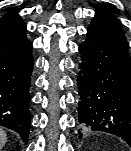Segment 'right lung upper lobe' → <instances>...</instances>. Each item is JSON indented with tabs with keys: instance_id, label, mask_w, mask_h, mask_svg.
<instances>
[{
	"instance_id": "right-lung-upper-lobe-1",
	"label": "right lung upper lobe",
	"mask_w": 131,
	"mask_h": 151,
	"mask_svg": "<svg viewBox=\"0 0 131 151\" xmlns=\"http://www.w3.org/2000/svg\"><path fill=\"white\" fill-rule=\"evenodd\" d=\"M26 30V25L16 10L9 11L0 17V33H13Z\"/></svg>"
}]
</instances>
